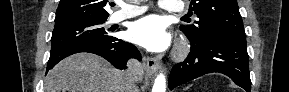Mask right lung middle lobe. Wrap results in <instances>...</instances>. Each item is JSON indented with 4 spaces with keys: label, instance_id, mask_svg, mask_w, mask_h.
<instances>
[{
    "label": "right lung middle lobe",
    "instance_id": "dd1d6c3e",
    "mask_svg": "<svg viewBox=\"0 0 289 92\" xmlns=\"http://www.w3.org/2000/svg\"><path fill=\"white\" fill-rule=\"evenodd\" d=\"M106 19L79 18L55 22L51 38V52L83 42L111 41L103 27Z\"/></svg>",
    "mask_w": 289,
    "mask_h": 92
}]
</instances>
